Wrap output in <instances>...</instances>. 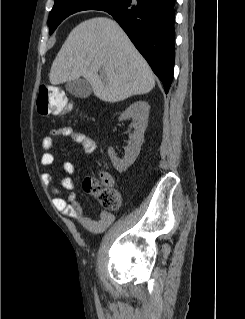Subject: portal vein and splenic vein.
Returning <instances> with one entry per match:
<instances>
[{
	"label": "portal vein and splenic vein",
	"instance_id": "1",
	"mask_svg": "<svg viewBox=\"0 0 245 319\" xmlns=\"http://www.w3.org/2000/svg\"><path fill=\"white\" fill-rule=\"evenodd\" d=\"M103 72H102V70H100V74H102Z\"/></svg>",
	"mask_w": 245,
	"mask_h": 319
}]
</instances>
